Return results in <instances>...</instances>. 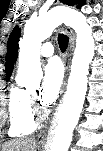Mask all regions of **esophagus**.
I'll return each instance as SVG.
<instances>
[{"mask_svg":"<svg viewBox=\"0 0 103 151\" xmlns=\"http://www.w3.org/2000/svg\"><path fill=\"white\" fill-rule=\"evenodd\" d=\"M67 34L69 36V45H68V48L63 57V63H64V67H65V77H64V82H63V86L61 89V94L64 92V90L66 88L67 78H68L69 69H70L71 54H72V50L74 47V40H75V34L71 29H67ZM47 131H48V129L45 128L40 132V134L38 135V138H37V140L39 142H43L46 140Z\"/></svg>","mask_w":103,"mask_h":151,"instance_id":"34e87169","label":"esophagus"}]
</instances>
